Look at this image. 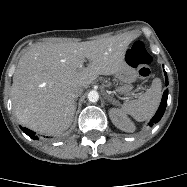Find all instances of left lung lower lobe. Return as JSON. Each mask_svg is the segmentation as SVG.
<instances>
[{
	"instance_id": "left-lung-lower-lobe-1",
	"label": "left lung lower lobe",
	"mask_w": 187,
	"mask_h": 187,
	"mask_svg": "<svg viewBox=\"0 0 187 187\" xmlns=\"http://www.w3.org/2000/svg\"><path fill=\"white\" fill-rule=\"evenodd\" d=\"M165 73V80H166V86L168 85V77H167V73L164 71ZM167 98H168V90L166 89L163 93V97L161 100V104L156 112V114L153 116V118L150 120V122L148 123V125L150 127H152L154 124H156L157 122L160 121V119L162 118L165 109H166V105H167Z\"/></svg>"
}]
</instances>
